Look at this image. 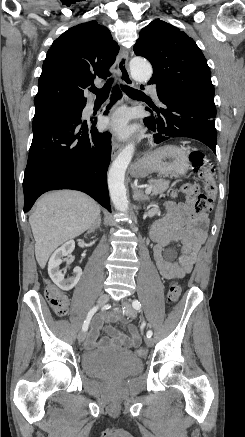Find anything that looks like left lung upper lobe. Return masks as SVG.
Wrapping results in <instances>:
<instances>
[{"label": "left lung upper lobe", "instance_id": "obj_1", "mask_svg": "<svg viewBox=\"0 0 245 437\" xmlns=\"http://www.w3.org/2000/svg\"><path fill=\"white\" fill-rule=\"evenodd\" d=\"M139 35L133 50L153 66L149 83L188 92L214 104L210 69L192 38L159 19L143 28Z\"/></svg>", "mask_w": 245, "mask_h": 437}]
</instances>
